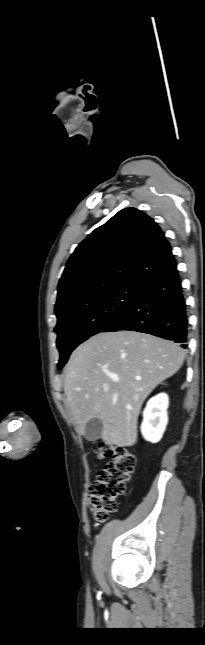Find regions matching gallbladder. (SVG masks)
<instances>
[{
  "instance_id": "bac80fb5",
  "label": "gallbladder",
  "mask_w": 205,
  "mask_h": 645,
  "mask_svg": "<svg viewBox=\"0 0 205 645\" xmlns=\"http://www.w3.org/2000/svg\"><path fill=\"white\" fill-rule=\"evenodd\" d=\"M103 424L100 419L92 418L85 425L84 438L88 441H95L100 438Z\"/></svg>"
}]
</instances>
